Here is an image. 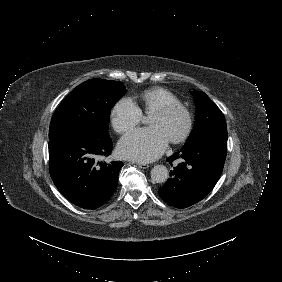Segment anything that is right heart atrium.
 Wrapping results in <instances>:
<instances>
[{
	"label": "right heart atrium",
	"instance_id": "1",
	"mask_svg": "<svg viewBox=\"0 0 282 282\" xmlns=\"http://www.w3.org/2000/svg\"><path fill=\"white\" fill-rule=\"evenodd\" d=\"M141 118L142 112L130 100L119 102L111 112L112 126L118 133H123L132 128Z\"/></svg>",
	"mask_w": 282,
	"mask_h": 282
}]
</instances>
